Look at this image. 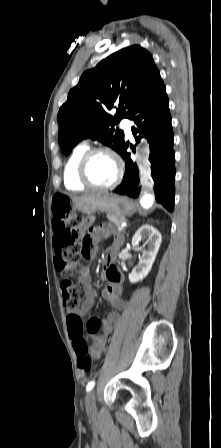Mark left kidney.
<instances>
[{
    "label": "left kidney",
    "instance_id": "1",
    "mask_svg": "<svg viewBox=\"0 0 221 448\" xmlns=\"http://www.w3.org/2000/svg\"><path fill=\"white\" fill-rule=\"evenodd\" d=\"M148 237V249L144 251L138 265L129 274V281L136 283L142 281L150 272L156 255L161 245L162 237L160 232L151 225H142L132 238V246L136 248L139 241Z\"/></svg>",
    "mask_w": 221,
    "mask_h": 448
}]
</instances>
